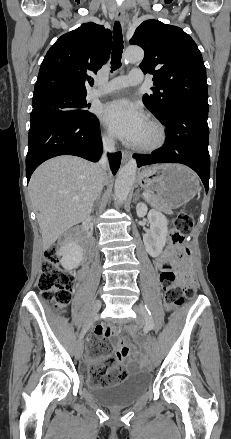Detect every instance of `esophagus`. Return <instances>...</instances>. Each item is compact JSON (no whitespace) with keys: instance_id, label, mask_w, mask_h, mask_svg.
I'll return each mask as SVG.
<instances>
[{"instance_id":"obj_1","label":"esophagus","mask_w":231,"mask_h":439,"mask_svg":"<svg viewBox=\"0 0 231 439\" xmlns=\"http://www.w3.org/2000/svg\"><path fill=\"white\" fill-rule=\"evenodd\" d=\"M115 19L117 21H120L121 24L124 26V22H125V13L123 11V9L119 8L115 11ZM131 157V153L128 151H123L122 152V160L123 162H126L129 158Z\"/></svg>"}]
</instances>
